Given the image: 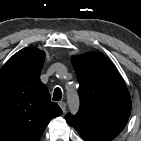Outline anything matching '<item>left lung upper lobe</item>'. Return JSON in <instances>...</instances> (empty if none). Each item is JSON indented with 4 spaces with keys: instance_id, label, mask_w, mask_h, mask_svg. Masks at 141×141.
I'll list each match as a JSON object with an SVG mask.
<instances>
[{
    "instance_id": "1",
    "label": "left lung upper lobe",
    "mask_w": 141,
    "mask_h": 141,
    "mask_svg": "<svg viewBox=\"0 0 141 141\" xmlns=\"http://www.w3.org/2000/svg\"><path fill=\"white\" fill-rule=\"evenodd\" d=\"M79 81L81 107L76 116L66 115L85 141H111L125 127L131 99L114 65L102 54L88 52L73 56Z\"/></svg>"
}]
</instances>
